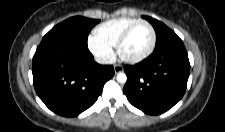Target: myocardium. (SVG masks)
<instances>
[{
    "instance_id": "myocardium-1",
    "label": "myocardium",
    "mask_w": 225,
    "mask_h": 132,
    "mask_svg": "<svg viewBox=\"0 0 225 132\" xmlns=\"http://www.w3.org/2000/svg\"><path fill=\"white\" fill-rule=\"evenodd\" d=\"M139 24H146L150 28L151 41H150L149 47L146 49L145 52H143L142 54H140L138 56H135V57L125 56L123 54V52H122L123 45L126 42V40L128 39V37L131 34L132 30ZM155 45H156V31H155L153 25L150 22H148L147 20L139 19V20H136L135 22H133L132 24H130L122 32V34L120 35V37H119V39L117 41L116 49H117L119 57L123 61H125L127 63H138V62L143 61L144 59H146L148 56L151 55V53L153 52V50L155 48Z\"/></svg>"
}]
</instances>
